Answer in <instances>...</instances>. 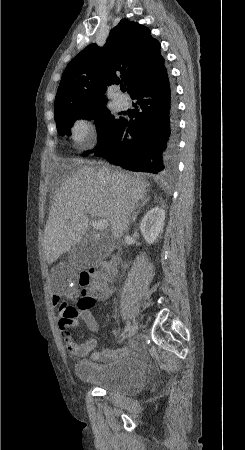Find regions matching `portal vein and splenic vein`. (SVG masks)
<instances>
[{"label": "portal vein and splenic vein", "mask_w": 245, "mask_h": 450, "mask_svg": "<svg viewBox=\"0 0 245 450\" xmlns=\"http://www.w3.org/2000/svg\"><path fill=\"white\" fill-rule=\"evenodd\" d=\"M92 225L97 230H106L109 226V223L106 219H100L98 221H93Z\"/></svg>", "instance_id": "1"}]
</instances>
